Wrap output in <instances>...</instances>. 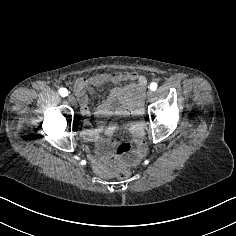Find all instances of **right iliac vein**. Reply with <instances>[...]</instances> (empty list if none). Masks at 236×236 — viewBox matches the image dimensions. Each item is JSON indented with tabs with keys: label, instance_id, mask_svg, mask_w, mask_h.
I'll use <instances>...</instances> for the list:
<instances>
[{
	"label": "right iliac vein",
	"instance_id": "right-iliac-vein-1",
	"mask_svg": "<svg viewBox=\"0 0 236 236\" xmlns=\"http://www.w3.org/2000/svg\"><path fill=\"white\" fill-rule=\"evenodd\" d=\"M70 102H71V104L73 105L74 108H77V107H78V103L75 101L74 98H71V99H70Z\"/></svg>",
	"mask_w": 236,
	"mask_h": 236
}]
</instances>
